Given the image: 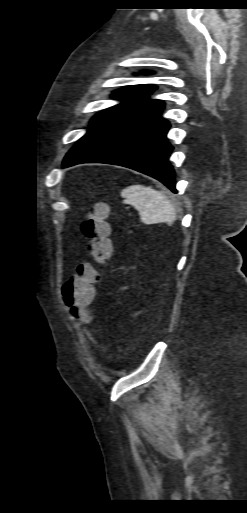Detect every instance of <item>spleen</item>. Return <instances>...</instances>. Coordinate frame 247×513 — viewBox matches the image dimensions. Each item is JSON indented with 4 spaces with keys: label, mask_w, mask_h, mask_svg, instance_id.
<instances>
[{
    "label": "spleen",
    "mask_w": 247,
    "mask_h": 513,
    "mask_svg": "<svg viewBox=\"0 0 247 513\" xmlns=\"http://www.w3.org/2000/svg\"><path fill=\"white\" fill-rule=\"evenodd\" d=\"M121 197L124 198V203L139 211L144 223L170 222L176 218V210L171 201L151 186H127L122 190Z\"/></svg>",
    "instance_id": "3e777b00"
}]
</instances>
